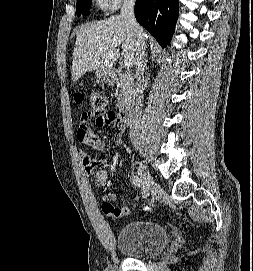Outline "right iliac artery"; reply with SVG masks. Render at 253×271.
<instances>
[{
  "instance_id": "82829eb1",
  "label": "right iliac artery",
  "mask_w": 253,
  "mask_h": 271,
  "mask_svg": "<svg viewBox=\"0 0 253 271\" xmlns=\"http://www.w3.org/2000/svg\"><path fill=\"white\" fill-rule=\"evenodd\" d=\"M132 183L138 188H140L142 186V182L137 175L132 176Z\"/></svg>"
}]
</instances>
